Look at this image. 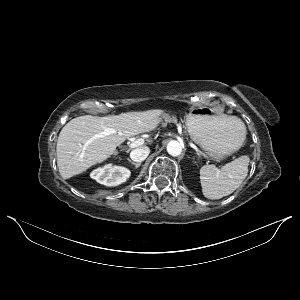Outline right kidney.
I'll use <instances>...</instances> for the list:
<instances>
[{"label": "right kidney", "instance_id": "obj_1", "mask_svg": "<svg viewBox=\"0 0 300 300\" xmlns=\"http://www.w3.org/2000/svg\"><path fill=\"white\" fill-rule=\"evenodd\" d=\"M91 178L105 186H117L130 177V171L121 166L112 164L105 165L92 171Z\"/></svg>", "mask_w": 300, "mask_h": 300}]
</instances>
